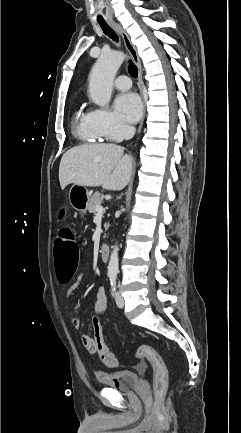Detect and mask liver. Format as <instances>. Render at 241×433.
Masks as SVG:
<instances>
[{
    "mask_svg": "<svg viewBox=\"0 0 241 433\" xmlns=\"http://www.w3.org/2000/svg\"><path fill=\"white\" fill-rule=\"evenodd\" d=\"M133 159L116 144H89L69 149L61 158V189L68 184L119 191L132 175Z\"/></svg>",
    "mask_w": 241,
    "mask_h": 433,
    "instance_id": "6515ba94",
    "label": "liver"
}]
</instances>
